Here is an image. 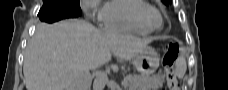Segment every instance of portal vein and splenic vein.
I'll use <instances>...</instances> for the list:
<instances>
[{"mask_svg":"<svg viewBox=\"0 0 228 90\" xmlns=\"http://www.w3.org/2000/svg\"><path fill=\"white\" fill-rule=\"evenodd\" d=\"M122 84H123V85H125V84H126V81H125V80H123Z\"/></svg>","mask_w":228,"mask_h":90,"instance_id":"obj_1","label":"portal vein and splenic vein"}]
</instances>
